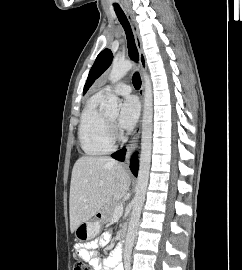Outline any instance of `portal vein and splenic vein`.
<instances>
[{"mask_svg": "<svg viewBox=\"0 0 242 270\" xmlns=\"http://www.w3.org/2000/svg\"><path fill=\"white\" fill-rule=\"evenodd\" d=\"M122 214H123V205L122 204L116 205L114 209V215H122Z\"/></svg>", "mask_w": 242, "mask_h": 270, "instance_id": "portal-vein-and-splenic-vein-1", "label": "portal vein and splenic vein"}]
</instances>
